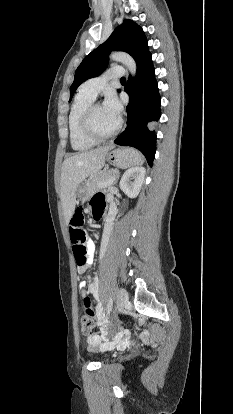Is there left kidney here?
Segmentation results:
<instances>
[{"instance_id":"1","label":"left kidney","mask_w":233,"mask_h":414,"mask_svg":"<svg viewBox=\"0 0 233 414\" xmlns=\"http://www.w3.org/2000/svg\"><path fill=\"white\" fill-rule=\"evenodd\" d=\"M145 173L144 167L137 166L128 169L120 180V189L130 198L137 197L144 182Z\"/></svg>"}]
</instances>
